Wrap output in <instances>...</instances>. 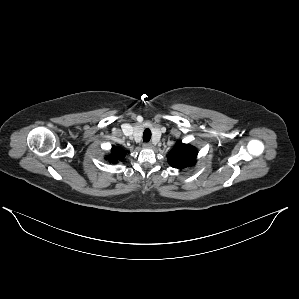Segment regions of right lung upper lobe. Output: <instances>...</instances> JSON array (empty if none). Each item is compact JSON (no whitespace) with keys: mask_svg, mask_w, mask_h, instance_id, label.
Instances as JSON below:
<instances>
[{"mask_svg":"<svg viewBox=\"0 0 299 299\" xmlns=\"http://www.w3.org/2000/svg\"><path fill=\"white\" fill-rule=\"evenodd\" d=\"M111 152L112 156L107 157V159L113 164L117 163L118 160H123L126 155L125 151L115 146L112 147Z\"/></svg>","mask_w":299,"mask_h":299,"instance_id":"obj_1","label":"right lung upper lobe"}]
</instances>
